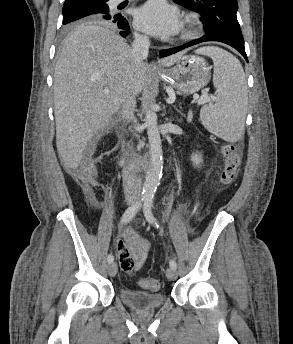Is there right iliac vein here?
Segmentation results:
<instances>
[{
    "label": "right iliac vein",
    "instance_id": "obj_1",
    "mask_svg": "<svg viewBox=\"0 0 293 344\" xmlns=\"http://www.w3.org/2000/svg\"><path fill=\"white\" fill-rule=\"evenodd\" d=\"M132 201H129V204H132ZM108 273L110 276H115L117 273V264L115 262H112L108 266Z\"/></svg>",
    "mask_w": 293,
    "mask_h": 344
}]
</instances>
